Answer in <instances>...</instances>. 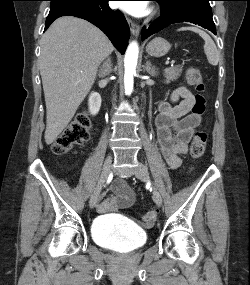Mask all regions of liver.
<instances>
[{
    "mask_svg": "<svg viewBox=\"0 0 250 285\" xmlns=\"http://www.w3.org/2000/svg\"><path fill=\"white\" fill-rule=\"evenodd\" d=\"M113 50L102 31L75 17L57 19L44 33L39 67L46 103V144L69 124L94 84L98 66Z\"/></svg>",
    "mask_w": 250,
    "mask_h": 285,
    "instance_id": "1",
    "label": "liver"
}]
</instances>
